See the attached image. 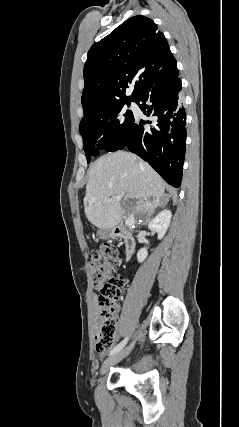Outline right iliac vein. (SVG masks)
I'll use <instances>...</instances> for the list:
<instances>
[{
    "instance_id": "obj_1",
    "label": "right iliac vein",
    "mask_w": 239,
    "mask_h": 427,
    "mask_svg": "<svg viewBox=\"0 0 239 427\" xmlns=\"http://www.w3.org/2000/svg\"><path fill=\"white\" fill-rule=\"evenodd\" d=\"M133 346H134V342L131 343L126 348H124L123 350L117 352L116 354H114L111 357H109L108 359H106L104 361V363L102 364V367H101V370H100L101 374H104L105 372L108 371V369L111 366L115 365L116 363H118L119 361H121L123 358H125L130 353V351L132 350Z\"/></svg>"
}]
</instances>
